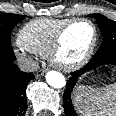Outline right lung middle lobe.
<instances>
[{"mask_svg":"<svg viewBox=\"0 0 116 116\" xmlns=\"http://www.w3.org/2000/svg\"><path fill=\"white\" fill-rule=\"evenodd\" d=\"M25 18L24 15L0 13V63H4L12 54L11 31L17 23Z\"/></svg>","mask_w":116,"mask_h":116,"instance_id":"dd1d6c3e","label":"right lung middle lobe"}]
</instances>
